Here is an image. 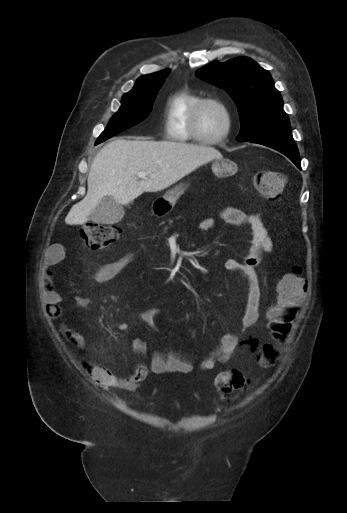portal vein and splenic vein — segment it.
I'll use <instances>...</instances> for the list:
<instances>
[{
  "mask_svg": "<svg viewBox=\"0 0 347 513\" xmlns=\"http://www.w3.org/2000/svg\"><path fill=\"white\" fill-rule=\"evenodd\" d=\"M137 176H138L139 178L146 179V178H147V176H148V173H146V172H139V173L137 174Z\"/></svg>",
  "mask_w": 347,
  "mask_h": 513,
  "instance_id": "1",
  "label": "portal vein and splenic vein"
}]
</instances>
